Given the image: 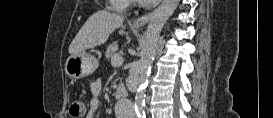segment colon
<instances>
[{
  "mask_svg": "<svg viewBox=\"0 0 273 118\" xmlns=\"http://www.w3.org/2000/svg\"><path fill=\"white\" fill-rule=\"evenodd\" d=\"M69 112L72 117H82L85 113V105L82 100L75 98L71 101Z\"/></svg>",
  "mask_w": 273,
  "mask_h": 118,
  "instance_id": "colon-1",
  "label": "colon"
}]
</instances>
